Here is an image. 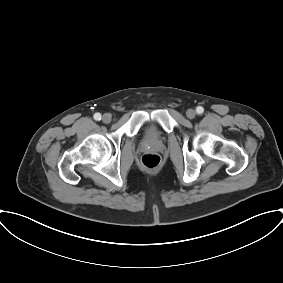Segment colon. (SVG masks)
<instances>
[{"label":"colon","instance_id":"obj_1","mask_svg":"<svg viewBox=\"0 0 283 283\" xmlns=\"http://www.w3.org/2000/svg\"><path fill=\"white\" fill-rule=\"evenodd\" d=\"M161 159L157 154L148 153L142 156L141 164L148 170H154L159 167Z\"/></svg>","mask_w":283,"mask_h":283}]
</instances>
